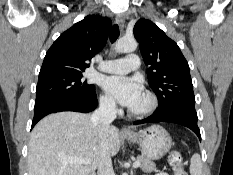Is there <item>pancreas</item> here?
I'll list each match as a JSON object with an SVG mask.
<instances>
[{
    "mask_svg": "<svg viewBox=\"0 0 233 175\" xmlns=\"http://www.w3.org/2000/svg\"><path fill=\"white\" fill-rule=\"evenodd\" d=\"M137 160L141 162L140 168L144 172H152L156 170V164L152 162L150 159H148L145 156H138Z\"/></svg>",
    "mask_w": 233,
    "mask_h": 175,
    "instance_id": "cf45deb5",
    "label": "pancreas"
}]
</instances>
